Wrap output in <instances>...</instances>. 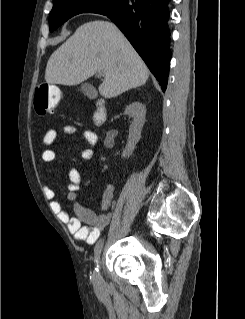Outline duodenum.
Masks as SVG:
<instances>
[{
	"label": "duodenum",
	"instance_id": "duodenum-1",
	"mask_svg": "<svg viewBox=\"0 0 245 319\" xmlns=\"http://www.w3.org/2000/svg\"><path fill=\"white\" fill-rule=\"evenodd\" d=\"M107 108L103 100H99L96 104V110L93 116V122L97 126H101L106 122Z\"/></svg>",
	"mask_w": 245,
	"mask_h": 319
}]
</instances>
